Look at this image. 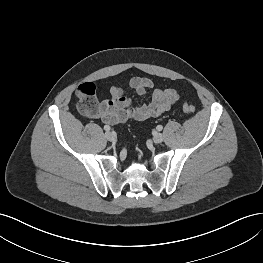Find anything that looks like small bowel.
Wrapping results in <instances>:
<instances>
[{"mask_svg": "<svg viewBox=\"0 0 263 263\" xmlns=\"http://www.w3.org/2000/svg\"><path fill=\"white\" fill-rule=\"evenodd\" d=\"M129 87L138 95L151 91V100L135 106L123 88L112 86L110 97L98 103L96 109L88 116L108 124L126 123L131 120L143 121L151 117H159L171 109L179 98L173 88H157L152 80L145 77H132L129 80Z\"/></svg>", "mask_w": 263, "mask_h": 263, "instance_id": "obj_1", "label": "small bowel"}]
</instances>
